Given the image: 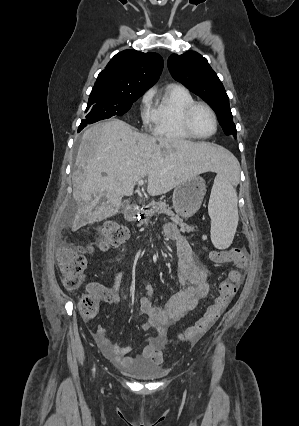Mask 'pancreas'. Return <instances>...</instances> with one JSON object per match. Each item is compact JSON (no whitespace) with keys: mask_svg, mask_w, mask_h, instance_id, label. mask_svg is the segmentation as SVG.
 Returning a JSON list of instances; mask_svg holds the SVG:
<instances>
[{"mask_svg":"<svg viewBox=\"0 0 299 426\" xmlns=\"http://www.w3.org/2000/svg\"><path fill=\"white\" fill-rule=\"evenodd\" d=\"M147 208L149 209L143 211L146 217L153 216L156 213L166 214L171 217L172 221H174L176 224L180 226L181 228L180 230L182 232H193L195 230L194 226H189L185 224L178 215H175L173 211L171 210V208L165 202L152 201L148 204Z\"/></svg>","mask_w":299,"mask_h":426,"instance_id":"cf45deb5","label":"pancreas"}]
</instances>
